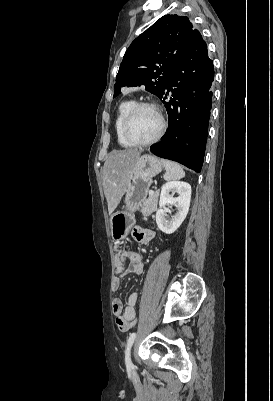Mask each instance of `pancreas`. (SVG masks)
I'll return each mask as SVG.
<instances>
[{"instance_id":"1","label":"pancreas","mask_w":273,"mask_h":401,"mask_svg":"<svg viewBox=\"0 0 273 401\" xmlns=\"http://www.w3.org/2000/svg\"><path fill=\"white\" fill-rule=\"evenodd\" d=\"M158 196H159V190H155L152 197L148 196V198H146V201L145 203H143V207L140 211L143 217H150L151 213H154V211H156Z\"/></svg>"}]
</instances>
